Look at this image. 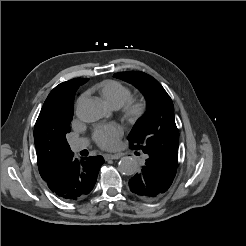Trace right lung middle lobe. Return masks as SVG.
<instances>
[{"instance_id": "1", "label": "right lung middle lobe", "mask_w": 246, "mask_h": 246, "mask_svg": "<svg viewBox=\"0 0 246 246\" xmlns=\"http://www.w3.org/2000/svg\"><path fill=\"white\" fill-rule=\"evenodd\" d=\"M73 115H69L68 117H66L62 123H61V130L62 133L66 136V134L68 132H70V122L72 120Z\"/></svg>"}]
</instances>
